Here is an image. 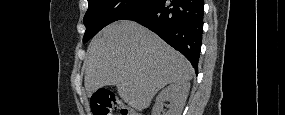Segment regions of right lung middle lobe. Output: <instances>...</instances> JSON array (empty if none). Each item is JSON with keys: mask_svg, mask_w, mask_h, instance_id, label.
Listing matches in <instances>:
<instances>
[{"mask_svg": "<svg viewBox=\"0 0 285 115\" xmlns=\"http://www.w3.org/2000/svg\"><path fill=\"white\" fill-rule=\"evenodd\" d=\"M153 0H88V10L84 16L86 31L83 42H87L109 23L121 20Z\"/></svg>", "mask_w": 285, "mask_h": 115, "instance_id": "1", "label": "right lung middle lobe"}]
</instances>
